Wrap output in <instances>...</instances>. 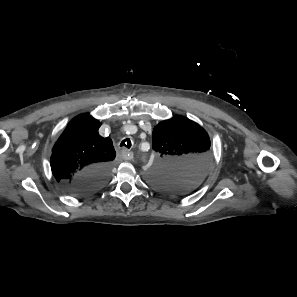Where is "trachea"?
<instances>
[{"instance_id":"obj_1","label":"trachea","mask_w":297,"mask_h":297,"mask_svg":"<svg viewBox=\"0 0 297 297\" xmlns=\"http://www.w3.org/2000/svg\"><path fill=\"white\" fill-rule=\"evenodd\" d=\"M131 140L129 138L124 139L121 143L120 146L121 147H126V148H130L131 147Z\"/></svg>"}]
</instances>
